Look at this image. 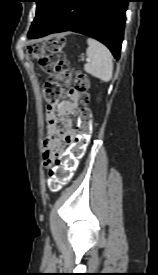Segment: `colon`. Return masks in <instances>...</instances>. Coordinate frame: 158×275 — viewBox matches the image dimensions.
I'll use <instances>...</instances> for the list:
<instances>
[{"label": "colon", "instance_id": "1", "mask_svg": "<svg viewBox=\"0 0 158 275\" xmlns=\"http://www.w3.org/2000/svg\"><path fill=\"white\" fill-rule=\"evenodd\" d=\"M64 47V37L56 35L44 42H33L27 46L28 54L38 60L41 69L50 76L43 88L47 102L58 101L70 90L78 94L84 105L78 116L76 142L67 154L56 158L55 165L48 172L46 185L51 191L61 189L71 180L92 134V114L86 107L89 102V80L82 72H72L69 61L63 56Z\"/></svg>", "mask_w": 158, "mask_h": 275}]
</instances>
